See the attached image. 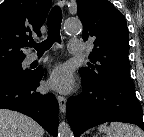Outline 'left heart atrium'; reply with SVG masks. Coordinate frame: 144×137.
<instances>
[{
    "instance_id": "39dd6f15",
    "label": "left heart atrium",
    "mask_w": 144,
    "mask_h": 137,
    "mask_svg": "<svg viewBox=\"0 0 144 137\" xmlns=\"http://www.w3.org/2000/svg\"><path fill=\"white\" fill-rule=\"evenodd\" d=\"M73 82V74L67 65L57 66L50 74L49 86L52 89L67 92L70 90Z\"/></svg>"
}]
</instances>
